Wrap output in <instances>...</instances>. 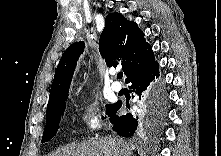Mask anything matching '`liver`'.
<instances>
[{
	"instance_id": "1",
	"label": "liver",
	"mask_w": 221,
	"mask_h": 156,
	"mask_svg": "<svg viewBox=\"0 0 221 156\" xmlns=\"http://www.w3.org/2000/svg\"><path fill=\"white\" fill-rule=\"evenodd\" d=\"M134 148L120 138H96L66 147L53 156H130Z\"/></svg>"
}]
</instances>
